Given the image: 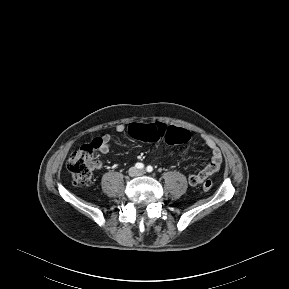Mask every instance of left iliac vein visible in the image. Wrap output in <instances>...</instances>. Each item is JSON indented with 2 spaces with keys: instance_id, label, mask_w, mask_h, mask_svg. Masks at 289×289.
Wrapping results in <instances>:
<instances>
[{
  "instance_id": "obj_1",
  "label": "left iliac vein",
  "mask_w": 289,
  "mask_h": 289,
  "mask_svg": "<svg viewBox=\"0 0 289 289\" xmlns=\"http://www.w3.org/2000/svg\"><path fill=\"white\" fill-rule=\"evenodd\" d=\"M144 173H145L144 170H140V171H139V174H141V175L144 174Z\"/></svg>"
}]
</instances>
